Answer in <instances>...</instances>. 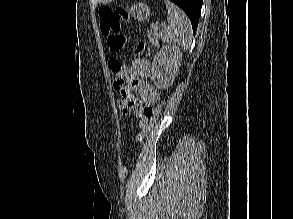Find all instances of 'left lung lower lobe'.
<instances>
[{
  "label": "left lung lower lobe",
  "instance_id": "left-lung-lower-lobe-1",
  "mask_svg": "<svg viewBox=\"0 0 293 219\" xmlns=\"http://www.w3.org/2000/svg\"><path fill=\"white\" fill-rule=\"evenodd\" d=\"M177 4L188 15L193 28V33H196L200 11L203 0H171Z\"/></svg>",
  "mask_w": 293,
  "mask_h": 219
}]
</instances>
